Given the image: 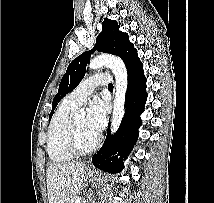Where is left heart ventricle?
Returning a JSON list of instances; mask_svg holds the SVG:
<instances>
[{
    "mask_svg": "<svg viewBox=\"0 0 214 203\" xmlns=\"http://www.w3.org/2000/svg\"><path fill=\"white\" fill-rule=\"evenodd\" d=\"M74 122L77 127L80 145L84 148L90 147L94 143L97 134L87 127L85 116L76 118Z\"/></svg>",
    "mask_w": 214,
    "mask_h": 203,
    "instance_id": "left-heart-ventricle-1",
    "label": "left heart ventricle"
}]
</instances>
